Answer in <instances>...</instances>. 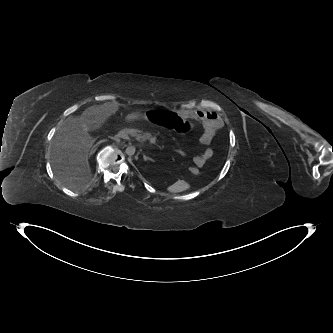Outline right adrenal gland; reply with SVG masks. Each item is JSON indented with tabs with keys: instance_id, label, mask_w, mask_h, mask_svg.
<instances>
[{
	"instance_id": "2a0ac1e0",
	"label": "right adrenal gland",
	"mask_w": 333,
	"mask_h": 333,
	"mask_svg": "<svg viewBox=\"0 0 333 333\" xmlns=\"http://www.w3.org/2000/svg\"><path fill=\"white\" fill-rule=\"evenodd\" d=\"M97 146H98V144H96L92 147V149L90 150L89 155H88L89 157L95 152Z\"/></svg>"
}]
</instances>
